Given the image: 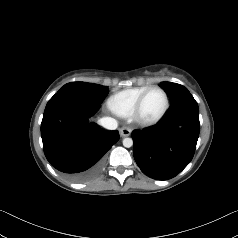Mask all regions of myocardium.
<instances>
[{
  "instance_id": "obj_1",
  "label": "myocardium",
  "mask_w": 238,
  "mask_h": 238,
  "mask_svg": "<svg viewBox=\"0 0 238 238\" xmlns=\"http://www.w3.org/2000/svg\"><path fill=\"white\" fill-rule=\"evenodd\" d=\"M153 90L162 91V93L165 96V107H164L163 111L160 113V115L157 116L156 118H154V119H144L141 116V109H142L143 103H144L147 95ZM169 107H170V98H169V95H168L167 91L163 87L158 86V85L150 86L138 98V100H137V102H136V104L133 108V111L131 113V118L133 119L134 122H136L137 124H139L141 126H152V125H155V124L159 123L166 116V114L169 110Z\"/></svg>"
}]
</instances>
